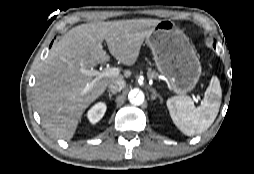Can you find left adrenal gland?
Returning a JSON list of instances; mask_svg holds the SVG:
<instances>
[{"label": "left adrenal gland", "instance_id": "1", "mask_svg": "<svg viewBox=\"0 0 254 174\" xmlns=\"http://www.w3.org/2000/svg\"><path fill=\"white\" fill-rule=\"evenodd\" d=\"M150 91L152 92L151 94V99L155 100L157 97L162 101V97L156 92L155 89H150Z\"/></svg>", "mask_w": 254, "mask_h": 174}]
</instances>
